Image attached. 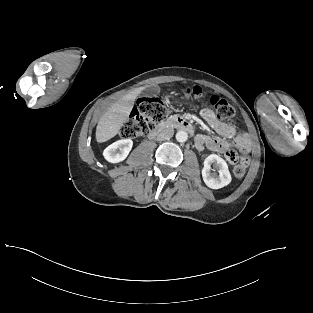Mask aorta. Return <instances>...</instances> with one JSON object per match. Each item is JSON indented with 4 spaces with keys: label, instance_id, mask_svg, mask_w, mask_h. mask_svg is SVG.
Masks as SVG:
<instances>
[{
    "label": "aorta",
    "instance_id": "1",
    "mask_svg": "<svg viewBox=\"0 0 313 313\" xmlns=\"http://www.w3.org/2000/svg\"><path fill=\"white\" fill-rule=\"evenodd\" d=\"M188 139V134L187 132L183 131V130H179L177 133H176V140L178 142H186Z\"/></svg>",
    "mask_w": 313,
    "mask_h": 313
}]
</instances>
